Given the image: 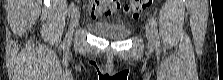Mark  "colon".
Here are the masks:
<instances>
[{"label":"colon","instance_id":"colon-1","mask_svg":"<svg viewBox=\"0 0 223 80\" xmlns=\"http://www.w3.org/2000/svg\"><path fill=\"white\" fill-rule=\"evenodd\" d=\"M94 2H105L107 4H115L117 8L120 7V3L114 0H99ZM156 2L157 0H134L130 5H126L124 9L127 12H130L133 18H136L140 9H148L152 7Z\"/></svg>","mask_w":223,"mask_h":80}]
</instances>
